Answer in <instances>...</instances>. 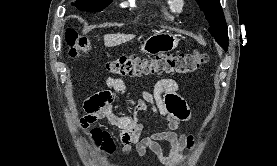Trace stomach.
Masks as SVG:
<instances>
[{
  "label": "stomach",
  "instance_id": "stomach-1",
  "mask_svg": "<svg viewBox=\"0 0 277 166\" xmlns=\"http://www.w3.org/2000/svg\"><path fill=\"white\" fill-rule=\"evenodd\" d=\"M175 35L159 31L148 37L141 45V51L149 55H159L170 52L178 45Z\"/></svg>",
  "mask_w": 277,
  "mask_h": 166
}]
</instances>
